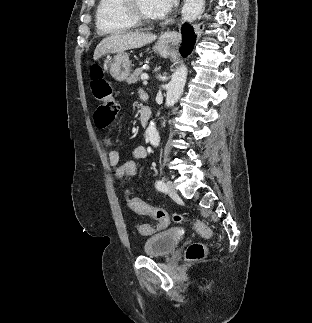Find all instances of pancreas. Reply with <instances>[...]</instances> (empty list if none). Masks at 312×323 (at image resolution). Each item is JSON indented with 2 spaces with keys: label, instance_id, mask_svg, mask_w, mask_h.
<instances>
[{
  "label": "pancreas",
  "instance_id": "cf45deb5",
  "mask_svg": "<svg viewBox=\"0 0 312 323\" xmlns=\"http://www.w3.org/2000/svg\"><path fill=\"white\" fill-rule=\"evenodd\" d=\"M140 74H144L143 68L135 70V72L131 74L130 78H127L126 82H128V84H135V82H138Z\"/></svg>",
  "mask_w": 312,
  "mask_h": 323
}]
</instances>
